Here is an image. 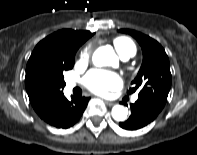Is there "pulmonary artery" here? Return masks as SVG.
I'll use <instances>...</instances> for the list:
<instances>
[{"mask_svg":"<svg viewBox=\"0 0 197 155\" xmlns=\"http://www.w3.org/2000/svg\"><path fill=\"white\" fill-rule=\"evenodd\" d=\"M124 60H127V59H129L130 57H128V56H123L122 57ZM75 86V84L73 83V82H69L68 83V88L69 89H72L73 87ZM137 100V97L135 96L134 98H133V101H136Z\"/></svg>","mask_w":197,"mask_h":155,"instance_id":"pulmonary-artery-1","label":"pulmonary artery"}]
</instances>
